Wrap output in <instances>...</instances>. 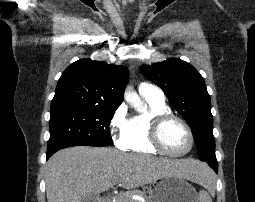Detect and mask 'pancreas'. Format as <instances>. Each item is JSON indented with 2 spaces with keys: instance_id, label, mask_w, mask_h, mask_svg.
<instances>
[{
  "instance_id": "cf45deb5",
  "label": "pancreas",
  "mask_w": 255,
  "mask_h": 202,
  "mask_svg": "<svg viewBox=\"0 0 255 202\" xmlns=\"http://www.w3.org/2000/svg\"><path fill=\"white\" fill-rule=\"evenodd\" d=\"M133 195H140L146 199V202H149L147 196L145 195L144 192L140 190H133V191H128L125 193H121L115 197L113 202H136L132 200Z\"/></svg>"
}]
</instances>
